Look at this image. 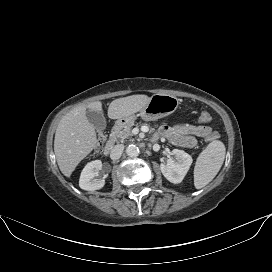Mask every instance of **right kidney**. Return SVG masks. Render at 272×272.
Returning a JSON list of instances; mask_svg holds the SVG:
<instances>
[{"label":"right kidney","mask_w":272,"mask_h":272,"mask_svg":"<svg viewBox=\"0 0 272 272\" xmlns=\"http://www.w3.org/2000/svg\"><path fill=\"white\" fill-rule=\"evenodd\" d=\"M101 169L102 162L100 160L88 163L80 175V188L87 191H94L103 188L105 180L103 178H97Z\"/></svg>","instance_id":"ca27d5eb"}]
</instances>
